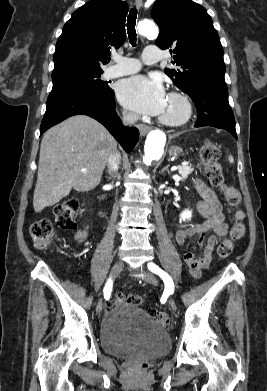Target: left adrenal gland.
Instances as JSON below:
<instances>
[{
  "mask_svg": "<svg viewBox=\"0 0 267 391\" xmlns=\"http://www.w3.org/2000/svg\"><path fill=\"white\" fill-rule=\"evenodd\" d=\"M168 167H169V165L165 166V167L162 169L161 172H162V173L165 172V171H168V172H169Z\"/></svg>",
  "mask_w": 267,
  "mask_h": 391,
  "instance_id": "1",
  "label": "left adrenal gland"
}]
</instances>
